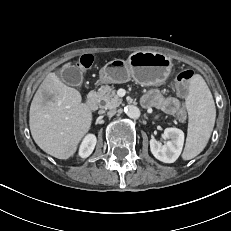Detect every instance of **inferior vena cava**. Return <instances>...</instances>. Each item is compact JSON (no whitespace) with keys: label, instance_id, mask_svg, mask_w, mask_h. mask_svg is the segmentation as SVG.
<instances>
[{"label":"inferior vena cava","instance_id":"obj_1","mask_svg":"<svg viewBox=\"0 0 231 231\" xmlns=\"http://www.w3.org/2000/svg\"><path fill=\"white\" fill-rule=\"evenodd\" d=\"M116 114V110L115 109H110L108 112H107V115L108 117H112Z\"/></svg>","mask_w":231,"mask_h":231}]
</instances>
